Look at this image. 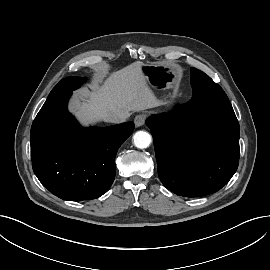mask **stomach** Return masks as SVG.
I'll return each mask as SVG.
<instances>
[{
  "mask_svg": "<svg viewBox=\"0 0 270 270\" xmlns=\"http://www.w3.org/2000/svg\"><path fill=\"white\" fill-rule=\"evenodd\" d=\"M141 71L147 83L160 94L163 100L169 102L181 76L180 67L168 62L142 63Z\"/></svg>",
  "mask_w": 270,
  "mask_h": 270,
  "instance_id": "stomach-1",
  "label": "stomach"
}]
</instances>
